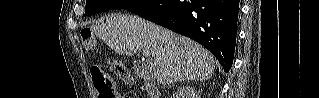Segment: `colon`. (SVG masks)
I'll use <instances>...</instances> for the list:
<instances>
[{"label":"colon","mask_w":319,"mask_h":98,"mask_svg":"<svg viewBox=\"0 0 319 98\" xmlns=\"http://www.w3.org/2000/svg\"><path fill=\"white\" fill-rule=\"evenodd\" d=\"M82 44L86 50H96L97 42L90 29L81 31ZM114 73L127 83H132V79L127 70L119 63H112ZM92 80L96 88L99 98H119L116 92L113 79L97 68L92 70ZM134 95L127 93L124 98H133Z\"/></svg>","instance_id":"1"}]
</instances>
